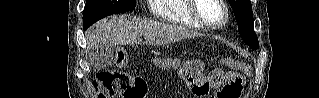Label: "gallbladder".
<instances>
[{
  "label": "gallbladder",
  "mask_w": 319,
  "mask_h": 98,
  "mask_svg": "<svg viewBox=\"0 0 319 98\" xmlns=\"http://www.w3.org/2000/svg\"><path fill=\"white\" fill-rule=\"evenodd\" d=\"M113 48L108 45H100L91 51V64L97 69L109 66L113 61Z\"/></svg>",
  "instance_id": "gallbladder-1"
}]
</instances>
